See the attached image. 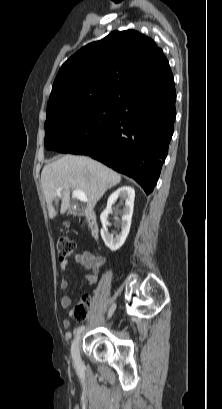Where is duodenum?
Wrapping results in <instances>:
<instances>
[{
    "mask_svg": "<svg viewBox=\"0 0 222 409\" xmlns=\"http://www.w3.org/2000/svg\"><path fill=\"white\" fill-rule=\"evenodd\" d=\"M86 218H87V226H88V229H89L91 235L93 237H95V238H98L99 228L97 226L94 214L92 212L88 211L86 213Z\"/></svg>",
    "mask_w": 222,
    "mask_h": 409,
    "instance_id": "1",
    "label": "duodenum"
}]
</instances>
